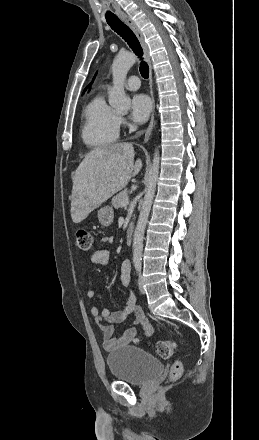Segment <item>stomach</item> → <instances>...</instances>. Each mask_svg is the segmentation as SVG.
<instances>
[{"mask_svg": "<svg viewBox=\"0 0 259 440\" xmlns=\"http://www.w3.org/2000/svg\"><path fill=\"white\" fill-rule=\"evenodd\" d=\"M98 220L100 224L104 227L111 225L114 219V212L112 207L104 206L98 210Z\"/></svg>", "mask_w": 259, "mask_h": 440, "instance_id": "obj_1", "label": "stomach"}]
</instances>
